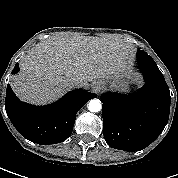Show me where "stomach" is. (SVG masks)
I'll return each instance as SVG.
<instances>
[{"label":"stomach","mask_w":178,"mask_h":178,"mask_svg":"<svg viewBox=\"0 0 178 178\" xmlns=\"http://www.w3.org/2000/svg\"><path fill=\"white\" fill-rule=\"evenodd\" d=\"M121 77V75H113L108 79L102 80V84L104 87H108L110 89L126 91L128 89V85L121 80Z\"/></svg>","instance_id":"obj_1"}]
</instances>
